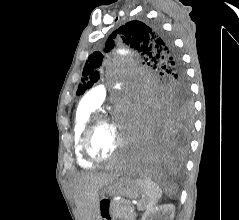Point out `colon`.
Returning a JSON list of instances; mask_svg holds the SVG:
<instances>
[{
    "label": "colon",
    "mask_w": 239,
    "mask_h": 220,
    "mask_svg": "<svg viewBox=\"0 0 239 220\" xmlns=\"http://www.w3.org/2000/svg\"><path fill=\"white\" fill-rule=\"evenodd\" d=\"M109 206L110 203L109 201H103L101 203V213L104 217H106V219L110 220L109 216H108V211H109Z\"/></svg>",
    "instance_id": "obj_1"
}]
</instances>
